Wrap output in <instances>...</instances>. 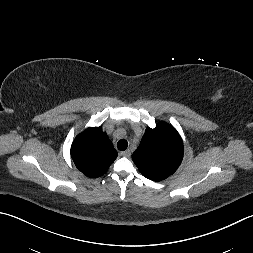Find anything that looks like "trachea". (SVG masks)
Masks as SVG:
<instances>
[{
  "mask_svg": "<svg viewBox=\"0 0 253 253\" xmlns=\"http://www.w3.org/2000/svg\"><path fill=\"white\" fill-rule=\"evenodd\" d=\"M117 147L120 151H125L128 147V142L125 139H121L118 141Z\"/></svg>",
  "mask_w": 253,
  "mask_h": 253,
  "instance_id": "trachea-1",
  "label": "trachea"
}]
</instances>
